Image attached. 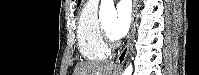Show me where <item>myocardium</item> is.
I'll list each match as a JSON object with an SVG mask.
<instances>
[{
	"instance_id": "f54148a6",
	"label": "myocardium",
	"mask_w": 199,
	"mask_h": 75,
	"mask_svg": "<svg viewBox=\"0 0 199 75\" xmlns=\"http://www.w3.org/2000/svg\"><path fill=\"white\" fill-rule=\"evenodd\" d=\"M100 29H101V33L105 41V44L109 47H114L116 44L115 40L109 35V33L105 30L103 25L100 26Z\"/></svg>"
}]
</instances>
